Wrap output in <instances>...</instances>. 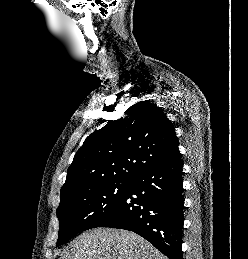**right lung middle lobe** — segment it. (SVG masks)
<instances>
[{"instance_id": "1", "label": "right lung middle lobe", "mask_w": 248, "mask_h": 259, "mask_svg": "<svg viewBox=\"0 0 248 259\" xmlns=\"http://www.w3.org/2000/svg\"><path fill=\"white\" fill-rule=\"evenodd\" d=\"M131 181H106L73 188L61 197L57 246L77 233L105 222L126 194Z\"/></svg>"}]
</instances>
